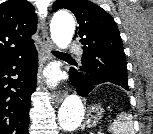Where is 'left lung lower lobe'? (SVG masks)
Listing matches in <instances>:
<instances>
[{
  "label": "left lung lower lobe",
  "mask_w": 153,
  "mask_h": 134,
  "mask_svg": "<svg viewBox=\"0 0 153 134\" xmlns=\"http://www.w3.org/2000/svg\"><path fill=\"white\" fill-rule=\"evenodd\" d=\"M71 81L80 96L86 97L91 90L101 83L108 82V80L101 78L98 75H91L83 71L71 68L69 71ZM122 87V86H121ZM128 90V87H123Z\"/></svg>",
  "instance_id": "obj_1"
}]
</instances>
